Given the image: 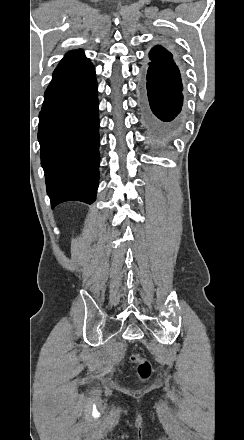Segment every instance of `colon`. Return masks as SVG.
Listing matches in <instances>:
<instances>
[{"instance_id":"1","label":"colon","mask_w":244,"mask_h":440,"mask_svg":"<svg viewBox=\"0 0 244 440\" xmlns=\"http://www.w3.org/2000/svg\"><path fill=\"white\" fill-rule=\"evenodd\" d=\"M130 360L132 362H141L140 363L141 365L138 370H139L142 378H148L152 374V369H151L150 365L147 364L146 362H144L141 359L140 355H138L137 353L131 354Z\"/></svg>"}]
</instances>
